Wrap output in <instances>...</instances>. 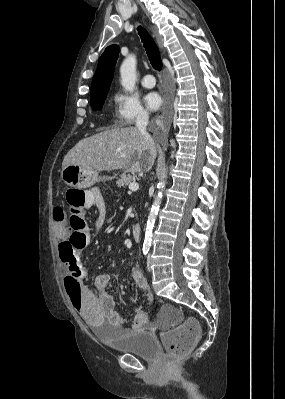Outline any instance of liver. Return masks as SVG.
Segmentation results:
<instances>
[{"instance_id":"6515ba94","label":"liver","mask_w":285,"mask_h":399,"mask_svg":"<svg viewBox=\"0 0 285 399\" xmlns=\"http://www.w3.org/2000/svg\"><path fill=\"white\" fill-rule=\"evenodd\" d=\"M156 145H150L136 127H116L79 141L64 157L62 167L78 165L94 174L129 168H151Z\"/></svg>"}]
</instances>
